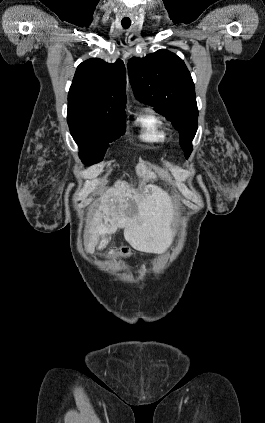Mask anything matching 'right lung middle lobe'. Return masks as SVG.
<instances>
[{
    "mask_svg": "<svg viewBox=\"0 0 265 423\" xmlns=\"http://www.w3.org/2000/svg\"><path fill=\"white\" fill-rule=\"evenodd\" d=\"M67 121L79 156L86 165L102 160L109 143L125 133V115L104 116L85 109H68Z\"/></svg>",
    "mask_w": 265,
    "mask_h": 423,
    "instance_id": "right-lung-middle-lobe-1",
    "label": "right lung middle lobe"
}]
</instances>
